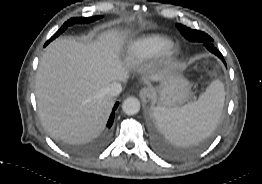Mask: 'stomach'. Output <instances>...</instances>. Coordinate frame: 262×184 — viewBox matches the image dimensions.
Instances as JSON below:
<instances>
[{"instance_id":"1","label":"stomach","mask_w":262,"mask_h":184,"mask_svg":"<svg viewBox=\"0 0 262 184\" xmlns=\"http://www.w3.org/2000/svg\"><path fill=\"white\" fill-rule=\"evenodd\" d=\"M158 106L178 108L191 98V84L178 74L169 75L152 89Z\"/></svg>"}]
</instances>
